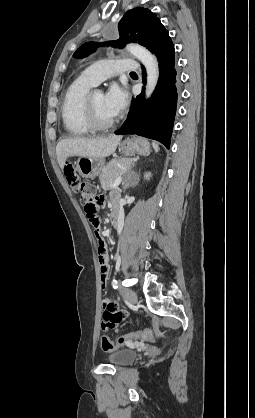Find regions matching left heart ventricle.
<instances>
[{
	"instance_id": "1",
	"label": "left heart ventricle",
	"mask_w": 255,
	"mask_h": 418,
	"mask_svg": "<svg viewBox=\"0 0 255 418\" xmlns=\"http://www.w3.org/2000/svg\"><path fill=\"white\" fill-rule=\"evenodd\" d=\"M92 101H93V106H94L96 116L99 121L109 122L114 119V117H112L107 111V109L105 108L103 93L99 91H95L92 96Z\"/></svg>"
}]
</instances>
